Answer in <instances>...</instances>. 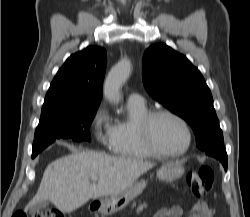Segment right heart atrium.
Masks as SVG:
<instances>
[{"label":"right heart atrium","instance_id":"obj_1","mask_svg":"<svg viewBox=\"0 0 250 217\" xmlns=\"http://www.w3.org/2000/svg\"><path fill=\"white\" fill-rule=\"evenodd\" d=\"M90 130L95 139L104 147L111 148L113 143V124L108 110L100 105L90 121Z\"/></svg>","mask_w":250,"mask_h":217}]
</instances>
